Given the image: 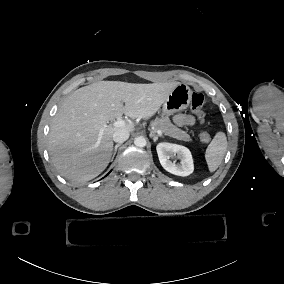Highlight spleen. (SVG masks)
<instances>
[{
    "mask_svg": "<svg viewBox=\"0 0 284 284\" xmlns=\"http://www.w3.org/2000/svg\"><path fill=\"white\" fill-rule=\"evenodd\" d=\"M228 146L227 135L224 131L219 130L215 133L208 147L206 148L204 157L210 173H213L222 163Z\"/></svg>",
    "mask_w": 284,
    "mask_h": 284,
    "instance_id": "spleen-1",
    "label": "spleen"
}]
</instances>
